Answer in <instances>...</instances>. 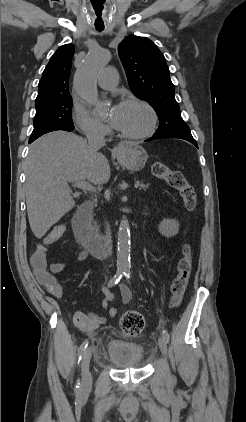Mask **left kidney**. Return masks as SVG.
I'll return each instance as SVG.
<instances>
[{
    "label": "left kidney",
    "mask_w": 246,
    "mask_h": 422,
    "mask_svg": "<svg viewBox=\"0 0 246 422\" xmlns=\"http://www.w3.org/2000/svg\"><path fill=\"white\" fill-rule=\"evenodd\" d=\"M158 228L163 236L167 238L173 237L179 231V222L175 219H164L159 223Z\"/></svg>",
    "instance_id": "5707ae66"
}]
</instances>
